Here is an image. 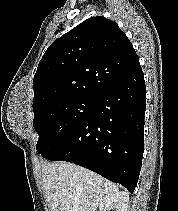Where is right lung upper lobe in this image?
Masks as SVG:
<instances>
[{
    "mask_svg": "<svg viewBox=\"0 0 178 211\" xmlns=\"http://www.w3.org/2000/svg\"><path fill=\"white\" fill-rule=\"evenodd\" d=\"M139 70L133 45L118 25L89 18L44 53L34 76L33 111L63 100L96 99Z\"/></svg>",
    "mask_w": 178,
    "mask_h": 211,
    "instance_id": "cb5924a9",
    "label": "right lung upper lobe"
}]
</instances>
